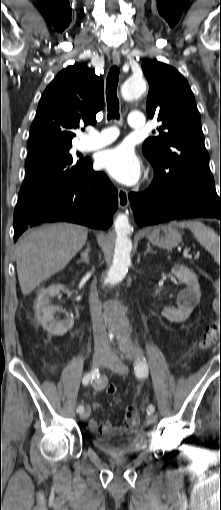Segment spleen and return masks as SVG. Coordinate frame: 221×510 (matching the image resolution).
<instances>
[{
	"label": "spleen",
	"mask_w": 221,
	"mask_h": 510,
	"mask_svg": "<svg viewBox=\"0 0 221 510\" xmlns=\"http://www.w3.org/2000/svg\"><path fill=\"white\" fill-rule=\"evenodd\" d=\"M170 225L190 229L196 240L214 256L215 260L218 259L219 238L213 229L197 220L173 221Z\"/></svg>",
	"instance_id": "obj_1"
}]
</instances>
